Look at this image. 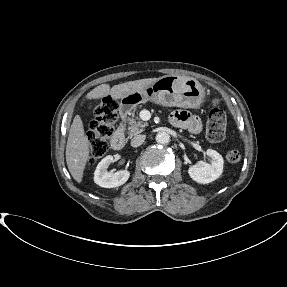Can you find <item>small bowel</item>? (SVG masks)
<instances>
[{
    "instance_id": "1",
    "label": "small bowel",
    "mask_w": 287,
    "mask_h": 287,
    "mask_svg": "<svg viewBox=\"0 0 287 287\" xmlns=\"http://www.w3.org/2000/svg\"><path fill=\"white\" fill-rule=\"evenodd\" d=\"M171 123L176 127L186 129L192 133L199 132L202 126L197 116L184 110L173 112L171 115Z\"/></svg>"
}]
</instances>
